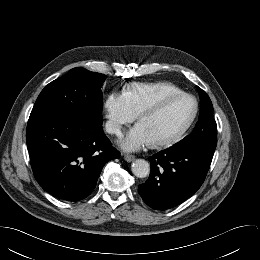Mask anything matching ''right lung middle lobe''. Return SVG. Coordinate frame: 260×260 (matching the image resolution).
<instances>
[{"label": "right lung middle lobe", "instance_id": "obj_1", "mask_svg": "<svg viewBox=\"0 0 260 260\" xmlns=\"http://www.w3.org/2000/svg\"><path fill=\"white\" fill-rule=\"evenodd\" d=\"M106 75L73 68L49 83L38 96L31 115L62 113L102 123L101 87Z\"/></svg>", "mask_w": 260, "mask_h": 260}]
</instances>
